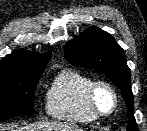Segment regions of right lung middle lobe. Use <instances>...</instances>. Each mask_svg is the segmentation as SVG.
I'll list each match as a JSON object with an SVG mask.
<instances>
[{"label":"right lung middle lobe","instance_id":"right-lung-middle-lobe-1","mask_svg":"<svg viewBox=\"0 0 147 131\" xmlns=\"http://www.w3.org/2000/svg\"><path fill=\"white\" fill-rule=\"evenodd\" d=\"M42 72H0V119L34 111V92Z\"/></svg>","mask_w":147,"mask_h":131}]
</instances>
